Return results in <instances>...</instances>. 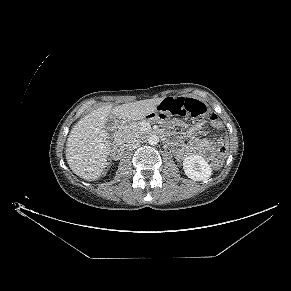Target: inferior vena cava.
Segmentation results:
<instances>
[{"mask_svg": "<svg viewBox=\"0 0 291 291\" xmlns=\"http://www.w3.org/2000/svg\"><path fill=\"white\" fill-rule=\"evenodd\" d=\"M140 146V140L136 137H130L126 141V148L128 150H134Z\"/></svg>", "mask_w": 291, "mask_h": 291, "instance_id": "1", "label": "inferior vena cava"}]
</instances>
